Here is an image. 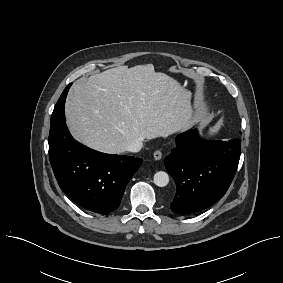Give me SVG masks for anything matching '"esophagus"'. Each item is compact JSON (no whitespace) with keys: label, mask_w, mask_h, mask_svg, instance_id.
Here are the masks:
<instances>
[{"label":"esophagus","mask_w":283,"mask_h":283,"mask_svg":"<svg viewBox=\"0 0 283 283\" xmlns=\"http://www.w3.org/2000/svg\"><path fill=\"white\" fill-rule=\"evenodd\" d=\"M153 157L155 160H160L162 158V152L157 150L153 153Z\"/></svg>","instance_id":"obj_1"}]
</instances>
